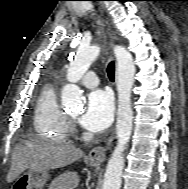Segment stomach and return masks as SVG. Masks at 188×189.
<instances>
[{
  "instance_id": "stomach-1",
  "label": "stomach",
  "mask_w": 188,
  "mask_h": 189,
  "mask_svg": "<svg viewBox=\"0 0 188 189\" xmlns=\"http://www.w3.org/2000/svg\"><path fill=\"white\" fill-rule=\"evenodd\" d=\"M90 165L97 166V163L91 162ZM48 178L49 173L46 169H29L17 178L11 189H43Z\"/></svg>"
}]
</instances>
